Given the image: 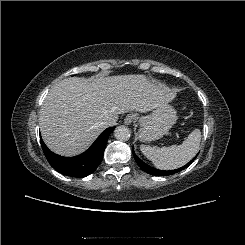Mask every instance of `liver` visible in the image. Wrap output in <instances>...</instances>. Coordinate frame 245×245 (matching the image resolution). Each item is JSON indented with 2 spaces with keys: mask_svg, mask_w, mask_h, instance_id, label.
I'll return each mask as SVG.
<instances>
[{
  "mask_svg": "<svg viewBox=\"0 0 245 245\" xmlns=\"http://www.w3.org/2000/svg\"><path fill=\"white\" fill-rule=\"evenodd\" d=\"M174 97L169 88L140 74L70 77L55 84L44 100L41 135L54 153L75 156L88 149L109 118L130 110L146 113Z\"/></svg>",
  "mask_w": 245,
  "mask_h": 245,
  "instance_id": "6515ba94",
  "label": "liver"
}]
</instances>
